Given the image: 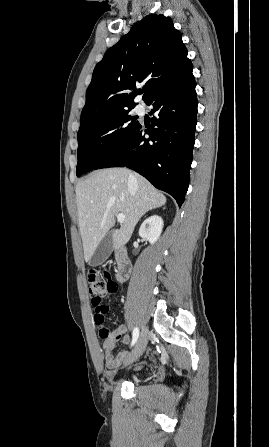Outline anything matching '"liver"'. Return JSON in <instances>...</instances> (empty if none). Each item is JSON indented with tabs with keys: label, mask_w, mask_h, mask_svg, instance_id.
<instances>
[{
	"label": "liver",
	"mask_w": 269,
	"mask_h": 447,
	"mask_svg": "<svg viewBox=\"0 0 269 447\" xmlns=\"http://www.w3.org/2000/svg\"><path fill=\"white\" fill-rule=\"evenodd\" d=\"M129 176H134L130 180ZM78 227L84 259H91L96 247L115 224V216L124 214V224L113 231L114 249L129 241L140 218L154 208L166 204L160 194L145 178L127 168L97 170L76 186Z\"/></svg>",
	"instance_id": "1"
}]
</instances>
